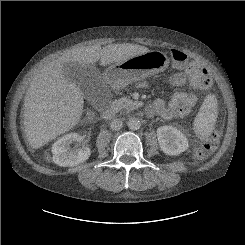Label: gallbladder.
<instances>
[{
	"label": "gallbladder",
	"mask_w": 245,
	"mask_h": 245,
	"mask_svg": "<svg viewBox=\"0 0 245 245\" xmlns=\"http://www.w3.org/2000/svg\"><path fill=\"white\" fill-rule=\"evenodd\" d=\"M65 74L94 108L105 107L106 100L109 99L108 90L97 68L78 62L68 63L65 66Z\"/></svg>",
	"instance_id": "obj_1"
}]
</instances>
